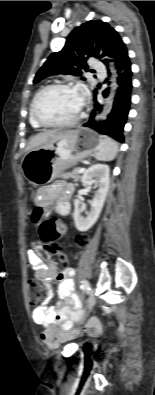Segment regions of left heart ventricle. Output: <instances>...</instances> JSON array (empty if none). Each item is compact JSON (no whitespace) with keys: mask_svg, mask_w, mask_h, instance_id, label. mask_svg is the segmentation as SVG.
Masks as SVG:
<instances>
[{"mask_svg":"<svg viewBox=\"0 0 155 395\" xmlns=\"http://www.w3.org/2000/svg\"><path fill=\"white\" fill-rule=\"evenodd\" d=\"M77 89L53 88L44 92L37 102V113L45 122H65L80 110Z\"/></svg>","mask_w":155,"mask_h":395,"instance_id":"1","label":"left heart ventricle"}]
</instances>
